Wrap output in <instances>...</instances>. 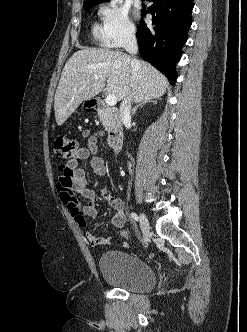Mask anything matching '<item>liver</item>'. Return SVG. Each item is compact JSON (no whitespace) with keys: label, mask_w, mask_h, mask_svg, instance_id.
<instances>
[{"label":"liver","mask_w":247,"mask_h":332,"mask_svg":"<svg viewBox=\"0 0 247 332\" xmlns=\"http://www.w3.org/2000/svg\"><path fill=\"white\" fill-rule=\"evenodd\" d=\"M130 56L109 49L84 48L66 62L55 93L54 110L57 125H62L85 100L102 92L117 101L131 98L142 102L164 95L168 80L153 66L139 61L136 76L132 75Z\"/></svg>","instance_id":"1"}]
</instances>
